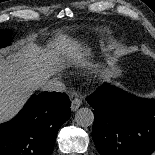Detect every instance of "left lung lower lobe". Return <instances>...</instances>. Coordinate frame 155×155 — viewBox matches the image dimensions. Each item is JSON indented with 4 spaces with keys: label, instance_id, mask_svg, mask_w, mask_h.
<instances>
[{
    "label": "left lung lower lobe",
    "instance_id": "1",
    "mask_svg": "<svg viewBox=\"0 0 155 155\" xmlns=\"http://www.w3.org/2000/svg\"><path fill=\"white\" fill-rule=\"evenodd\" d=\"M92 106V138L101 155H150L155 150V99L109 83L86 98Z\"/></svg>",
    "mask_w": 155,
    "mask_h": 155
}]
</instances>
